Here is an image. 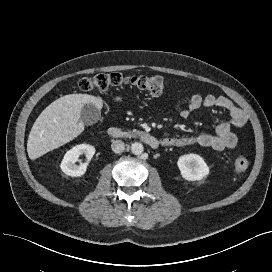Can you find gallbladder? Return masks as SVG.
I'll use <instances>...</instances> for the list:
<instances>
[{"mask_svg":"<svg viewBox=\"0 0 272 272\" xmlns=\"http://www.w3.org/2000/svg\"><path fill=\"white\" fill-rule=\"evenodd\" d=\"M101 117L100 110L92 103L85 104L81 110V121L89 126L95 124Z\"/></svg>","mask_w":272,"mask_h":272,"instance_id":"1","label":"gallbladder"}]
</instances>
